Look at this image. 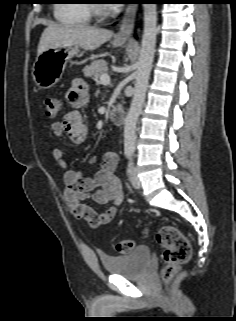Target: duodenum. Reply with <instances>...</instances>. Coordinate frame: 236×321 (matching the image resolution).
<instances>
[{"instance_id": "1", "label": "duodenum", "mask_w": 236, "mask_h": 321, "mask_svg": "<svg viewBox=\"0 0 236 321\" xmlns=\"http://www.w3.org/2000/svg\"><path fill=\"white\" fill-rule=\"evenodd\" d=\"M111 119L114 124L121 125L124 121V114H123L122 110H120V109L114 110L111 114Z\"/></svg>"}]
</instances>
